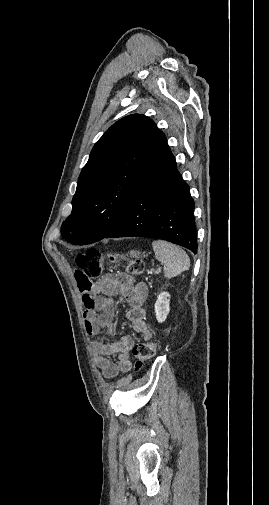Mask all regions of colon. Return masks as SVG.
<instances>
[{
  "mask_svg": "<svg viewBox=\"0 0 269 505\" xmlns=\"http://www.w3.org/2000/svg\"><path fill=\"white\" fill-rule=\"evenodd\" d=\"M77 268H84L90 281H99L104 266L102 254L97 249H87L79 253L75 259ZM143 262L139 259L130 260L127 263L126 271L131 275H140L143 272ZM158 345L155 342L139 343L133 348L135 358V368L141 369L143 365L152 359L156 354Z\"/></svg>",
  "mask_w": 269,
  "mask_h": 505,
  "instance_id": "obj_1",
  "label": "colon"
}]
</instances>
